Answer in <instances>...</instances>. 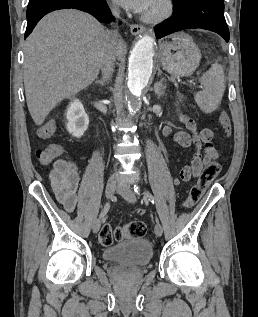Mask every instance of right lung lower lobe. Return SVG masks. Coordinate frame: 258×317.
I'll list each match as a JSON object with an SVG mask.
<instances>
[{
  "label": "right lung lower lobe",
  "mask_w": 258,
  "mask_h": 317,
  "mask_svg": "<svg viewBox=\"0 0 258 317\" xmlns=\"http://www.w3.org/2000/svg\"><path fill=\"white\" fill-rule=\"evenodd\" d=\"M67 8L85 11L102 23L113 20L106 0H29L26 13L27 28L24 38L26 39L44 15L54 10Z\"/></svg>",
  "instance_id": "1"
}]
</instances>
